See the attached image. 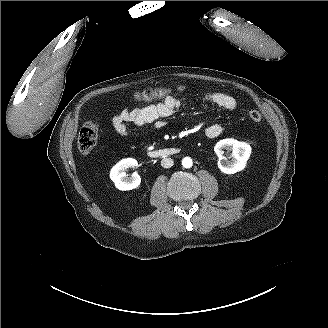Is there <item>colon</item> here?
Listing matches in <instances>:
<instances>
[{
	"instance_id": "1",
	"label": "colon",
	"mask_w": 328,
	"mask_h": 328,
	"mask_svg": "<svg viewBox=\"0 0 328 328\" xmlns=\"http://www.w3.org/2000/svg\"><path fill=\"white\" fill-rule=\"evenodd\" d=\"M181 91L183 88H177ZM171 90L168 88H158L154 90H145L136 95V99L145 103H152L157 100L166 99L170 96ZM249 118L253 122H261L262 115L257 110L249 112ZM98 126L93 122H86L79 131L77 138V147L82 154H89L97 141Z\"/></svg>"
}]
</instances>
